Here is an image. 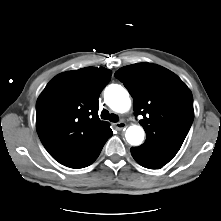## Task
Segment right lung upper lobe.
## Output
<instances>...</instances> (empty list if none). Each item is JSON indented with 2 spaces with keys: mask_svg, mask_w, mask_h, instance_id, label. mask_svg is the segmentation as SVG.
Segmentation results:
<instances>
[{
  "mask_svg": "<svg viewBox=\"0 0 221 221\" xmlns=\"http://www.w3.org/2000/svg\"><path fill=\"white\" fill-rule=\"evenodd\" d=\"M106 68L86 67L61 73L36 103V129L49 154L65 164L110 129L99 119V94L111 79Z\"/></svg>",
  "mask_w": 221,
  "mask_h": 221,
  "instance_id": "right-lung-upper-lobe-1",
  "label": "right lung upper lobe"
}]
</instances>
